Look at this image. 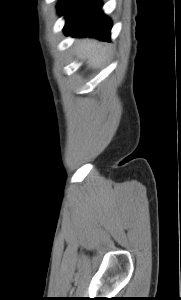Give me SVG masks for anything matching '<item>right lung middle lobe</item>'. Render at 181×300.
Masks as SVG:
<instances>
[{
  "label": "right lung middle lobe",
  "instance_id": "dd1d6c3e",
  "mask_svg": "<svg viewBox=\"0 0 181 300\" xmlns=\"http://www.w3.org/2000/svg\"><path fill=\"white\" fill-rule=\"evenodd\" d=\"M66 1H67V0H61V1L59 2V7L62 6Z\"/></svg>",
  "mask_w": 181,
  "mask_h": 300
}]
</instances>
